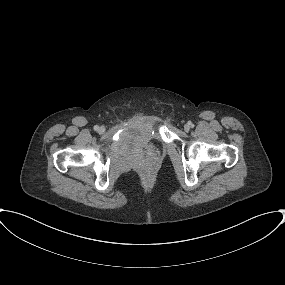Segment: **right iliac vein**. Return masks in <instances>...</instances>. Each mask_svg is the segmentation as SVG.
<instances>
[{
    "label": "right iliac vein",
    "instance_id": "obj_1",
    "mask_svg": "<svg viewBox=\"0 0 285 285\" xmlns=\"http://www.w3.org/2000/svg\"><path fill=\"white\" fill-rule=\"evenodd\" d=\"M98 131H99V133H104L105 132V127L101 126Z\"/></svg>",
    "mask_w": 285,
    "mask_h": 285
}]
</instances>
